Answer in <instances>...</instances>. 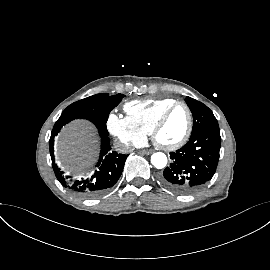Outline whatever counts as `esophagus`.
Instances as JSON below:
<instances>
[{"instance_id": "obj_1", "label": "esophagus", "mask_w": 270, "mask_h": 270, "mask_svg": "<svg viewBox=\"0 0 270 270\" xmlns=\"http://www.w3.org/2000/svg\"><path fill=\"white\" fill-rule=\"evenodd\" d=\"M141 152H142L143 154H146V155H150V154H152V153H153V151H152V150H147V149L142 150Z\"/></svg>"}]
</instances>
